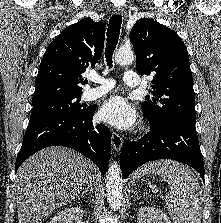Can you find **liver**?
Returning a JSON list of instances; mask_svg holds the SVG:
<instances>
[{
  "mask_svg": "<svg viewBox=\"0 0 221 223\" xmlns=\"http://www.w3.org/2000/svg\"><path fill=\"white\" fill-rule=\"evenodd\" d=\"M90 169V160L60 146L29 157L18 169L13 186L19 223H40L75 200L91 178Z\"/></svg>",
  "mask_w": 221,
  "mask_h": 223,
  "instance_id": "6515ba94",
  "label": "liver"
}]
</instances>
